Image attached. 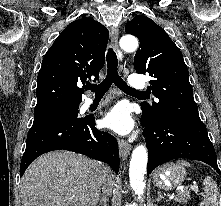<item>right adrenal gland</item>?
<instances>
[{
  "label": "right adrenal gland",
  "instance_id": "1",
  "mask_svg": "<svg viewBox=\"0 0 221 206\" xmlns=\"http://www.w3.org/2000/svg\"><path fill=\"white\" fill-rule=\"evenodd\" d=\"M109 202V199L107 196H103L100 203L97 206H107V203Z\"/></svg>",
  "mask_w": 221,
  "mask_h": 206
}]
</instances>
